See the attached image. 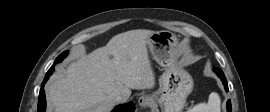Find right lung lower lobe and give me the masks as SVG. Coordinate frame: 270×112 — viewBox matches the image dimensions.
I'll return each instance as SVG.
<instances>
[{
    "label": "right lung lower lobe",
    "mask_w": 270,
    "mask_h": 112,
    "mask_svg": "<svg viewBox=\"0 0 270 112\" xmlns=\"http://www.w3.org/2000/svg\"><path fill=\"white\" fill-rule=\"evenodd\" d=\"M54 71V67L52 66L48 72L46 73V76L43 80V83L41 85L40 93H39V99H38V108L37 112H45L46 107V100H45V91H44V85L46 81L49 79V77L52 75ZM135 107L132 102L124 105L117 106L112 112H134Z\"/></svg>",
    "instance_id": "98d812e1"
}]
</instances>
